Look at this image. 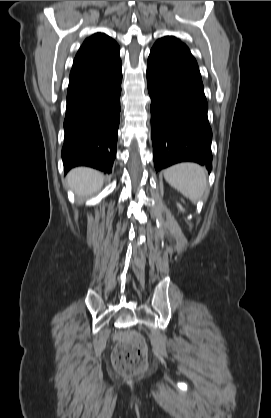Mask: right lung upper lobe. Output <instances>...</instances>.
<instances>
[{"mask_svg": "<svg viewBox=\"0 0 271 418\" xmlns=\"http://www.w3.org/2000/svg\"><path fill=\"white\" fill-rule=\"evenodd\" d=\"M119 46L109 36L95 33L78 50L70 72L68 91L96 77L117 61Z\"/></svg>", "mask_w": 271, "mask_h": 418, "instance_id": "right-lung-upper-lobe-1", "label": "right lung upper lobe"}]
</instances>
